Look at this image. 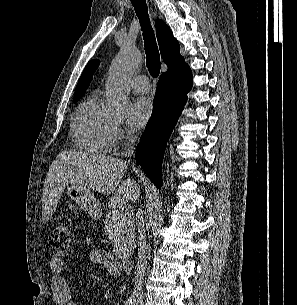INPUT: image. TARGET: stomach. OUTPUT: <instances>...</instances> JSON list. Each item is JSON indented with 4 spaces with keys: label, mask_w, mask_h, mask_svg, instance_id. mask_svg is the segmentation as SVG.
<instances>
[{
    "label": "stomach",
    "mask_w": 297,
    "mask_h": 305,
    "mask_svg": "<svg viewBox=\"0 0 297 305\" xmlns=\"http://www.w3.org/2000/svg\"><path fill=\"white\" fill-rule=\"evenodd\" d=\"M68 196L94 219H99L102 209L93 192L84 185L68 184L65 188Z\"/></svg>",
    "instance_id": "obj_1"
}]
</instances>
